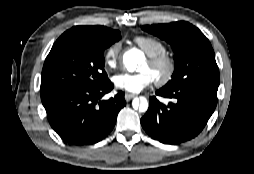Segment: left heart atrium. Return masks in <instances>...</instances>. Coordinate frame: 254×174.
<instances>
[{
  "instance_id": "obj_1",
  "label": "left heart atrium",
  "mask_w": 254,
  "mask_h": 174,
  "mask_svg": "<svg viewBox=\"0 0 254 174\" xmlns=\"http://www.w3.org/2000/svg\"><path fill=\"white\" fill-rule=\"evenodd\" d=\"M154 82V78L147 71L139 73H121L113 77L116 88L130 92L139 93Z\"/></svg>"
}]
</instances>
